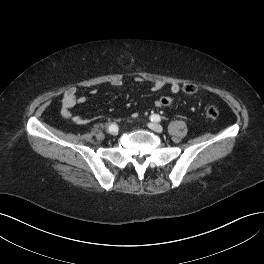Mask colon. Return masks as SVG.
I'll return each mask as SVG.
<instances>
[{
	"instance_id": "colon-1",
	"label": "colon",
	"mask_w": 264,
	"mask_h": 264,
	"mask_svg": "<svg viewBox=\"0 0 264 264\" xmlns=\"http://www.w3.org/2000/svg\"><path fill=\"white\" fill-rule=\"evenodd\" d=\"M183 91L187 94H194L197 91V87L192 83H186L183 85ZM158 103L160 107H169L173 105V99L169 96H162ZM205 116L208 119L216 120L219 116V110L217 107L210 105L205 110Z\"/></svg>"
}]
</instances>
